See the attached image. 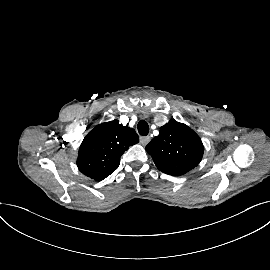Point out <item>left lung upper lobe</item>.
Listing matches in <instances>:
<instances>
[{
  "label": "left lung upper lobe",
  "instance_id": "left-lung-upper-lobe-1",
  "mask_svg": "<svg viewBox=\"0 0 270 270\" xmlns=\"http://www.w3.org/2000/svg\"><path fill=\"white\" fill-rule=\"evenodd\" d=\"M163 173L179 176L196 167L203 156L200 137L187 125L171 119L145 148Z\"/></svg>",
  "mask_w": 270,
  "mask_h": 270
}]
</instances>
